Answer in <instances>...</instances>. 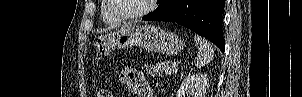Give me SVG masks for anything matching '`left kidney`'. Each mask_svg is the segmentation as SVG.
I'll use <instances>...</instances> for the list:
<instances>
[{
    "label": "left kidney",
    "mask_w": 302,
    "mask_h": 97,
    "mask_svg": "<svg viewBox=\"0 0 302 97\" xmlns=\"http://www.w3.org/2000/svg\"><path fill=\"white\" fill-rule=\"evenodd\" d=\"M208 78L204 74L188 75L177 90L176 97H205Z\"/></svg>",
    "instance_id": "left-kidney-1"
}]
</instances>
